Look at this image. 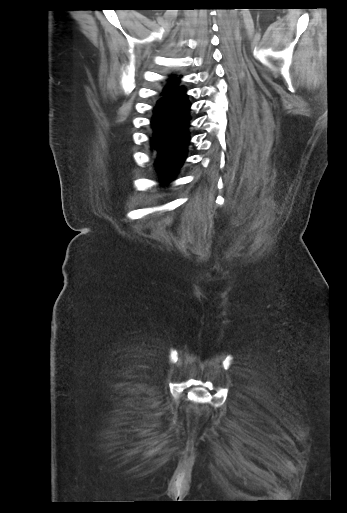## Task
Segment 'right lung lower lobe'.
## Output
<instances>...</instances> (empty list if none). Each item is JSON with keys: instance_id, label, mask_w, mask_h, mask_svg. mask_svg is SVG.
Listing matches in <instances>:
<instances>
[{"instance_id": "right-lung-lower-lobe-1", "label": "right lung lower lobe", "mask_w": 347, "mask_h": 513, "mask_svg": "<svg viewBox=\"0 0 347 513\" xmlns=\"http://www.w3.org/2000/svg\"><path fill=\"white\" fill-rule=\"evenodd\" d=\"M161 95L151 120L154 130L151 146L157 153L155 165L161 177L168 180L185 160L190 140L188 128L191 103L183 87Z\"/></svg>"}]
</instances>
